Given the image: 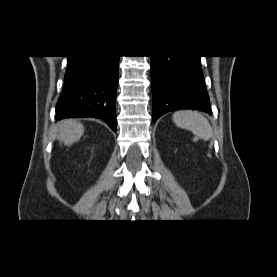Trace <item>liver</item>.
<instances>
[{"label": "liver", "mask_w": 277, "mask_h": 277, "mask_svg": "<svg viewBox=\"0 0 277 277\" xmlns=\"http://www.w3.org/2000/svg\"><path fill=\"white\" fill-rule=\"evenodd\" d=\"M84 133V126L75 120H64L59 123L58 139L66 146L80 140Z\"/></svg>", "instance_id": "obj_1"}]
</instances>
